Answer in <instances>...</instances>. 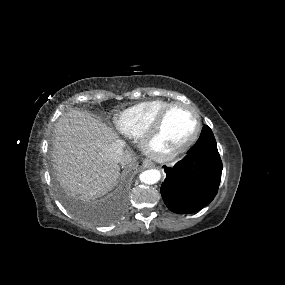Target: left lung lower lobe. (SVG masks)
Listing matches in <instances>:
<instances>
[{"label": "left lung lower lobe", "mask_w": 285, "mask_h": 285, "mask_svg": "<svg viewBox=\"0 0 285 285\" xmlns=\"http://www.w3.org/2000/svg\"><path fill=\"white\" fill-rule=\"evenodd\" d=\"M193 162L198 167L191 170ZM163 167L166 178L160 191L171 211L189 214L209 204L217 194L222 173V161L211 129L203 127L196 144L174 167Z\"/></svg>", "instance_id": "1"}]
</instances>
